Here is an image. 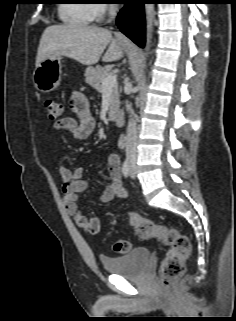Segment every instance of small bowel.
I'll use <instances>...</instances> for the list:
<instances>
[{"mask_svg":"<svg viewBox=\"0 0 236 321\" xmlns=\"http://www.w3.org/2000/svg\"><path fill=\"white\" fill-rule=\"evenodd\" d=\"M70 107L73 116L63 117L53 124L57 131L63 130L77 140L89 138L94 129L95 121L89 110V101L85 94L74 93L70 98ZM109 182L100 195L103 202H109L114 198L124 199L126 190L121 181V163L117 154L111 153L107 157ZM59 173L62 180L63 202L66 211L73 216L76 225L85 229L90 234H96L101 228V221L97 217L88 218L84 215L77 203L78 195L86 190L88 183L83 180V169L76 167L70 169L61 164Z\"/></svg>","mask_w":236,"mask_h":321,"instance_id":"c3829d8e","label":"small bowel"}]
</instances>
